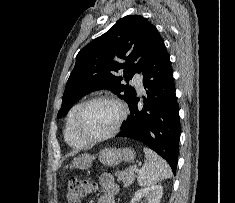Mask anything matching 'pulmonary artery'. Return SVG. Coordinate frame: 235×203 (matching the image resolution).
<instances>
[{
  "label": "pulmonary artery",
  "mask_w": 235,
  "mask_h": 203,
  "mask_svg": "<svg viewBox=\"0 0 235 203\" xmlns=\"http://www.w3.org/2000/svg\"><path fill=\"white\" fill-rule=\"evenodd\" d=\"M132 83L136 86L139 91H143V78L141 75H134V77L132 78Z\"/></svg>",
  "instance_id": "obj_1"
}]
</instances>
